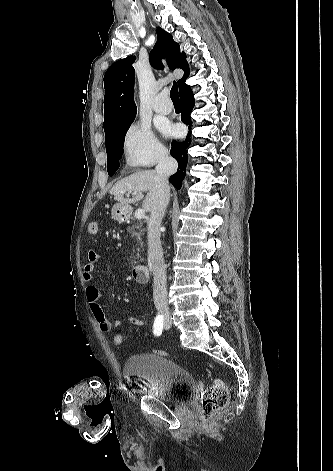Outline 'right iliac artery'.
Masks as SVG:
<instances>
[{
	"label": "right iliac artery",
	"mask_w": 333,
	"mask_h": 471,
	"mask_svg": "<svg viewBox=\"0 0 333 471\" xmlns=\"http://www.w3.org/2000/svg\"><path fill=\"white\" fill-rule=\"evenodd\" d=\"M162 330H163V316L158 315V316H156L155 321H154L153 333L156 336H159V335H161Z\"/></svg>",
	"instance_id": "obj_1"
}]
</instances>
